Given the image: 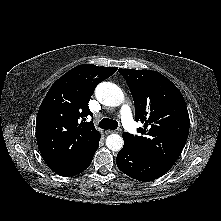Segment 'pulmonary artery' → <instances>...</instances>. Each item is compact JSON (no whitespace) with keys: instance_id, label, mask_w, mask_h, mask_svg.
<instances>
[{"instance_id":"obj_1","label":"pulmonary artery","mask_w":221,"mask_h":221,"mask_svg":"<svg viewBox=\"0 0 221 221\" xmlns=\"http://www.w3.org/2000/svg\"><path fill=\"white\" fill-rule=\"evenodd\" d=\"M120 116L123 126L132 134H137V125L128 105H123L121 107Z\"/></svg>"}]
</instances>
